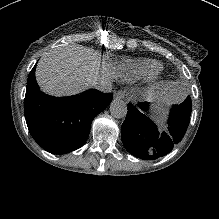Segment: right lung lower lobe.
Here are the masks:
<instances>
[{"instance_id":"right-lung-lower-lobe-1","label":"right lung lower lobe","mask_w":219,"mask_h":219,"mask_svg":"<svg viewBox=\"0 0 219 219\" xmlns=\"http://www.w3.org/2000/svg\"><path fill=\"white\" fill-rule=\"evenodd\" d=\"M112 100V93L87 90L80 95L52 97L39 90L35 67L31 70L24 101L28 129L45 150L62 154L81 147L91 122Z\"/></svg>"}]
</instances>
